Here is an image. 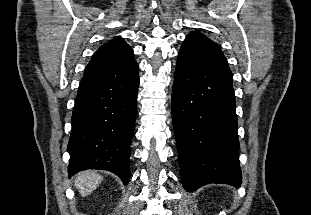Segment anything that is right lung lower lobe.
<instances>
[{
    "mask_svg": "<svg viewBox=\"0 0 311 215\" xmlns=\"http://www.w3.org/2000/svg\"><path fill=\"white\" fill-rule=\"evenodd\" d=\"M138 63L122 66L88 64L72 113L67 151L69 176L101 169L130 178V144L136 118Z\"/></svg>",
    "mask_w": 311,
    "mask_h": 215,
    "instance_id": "1",
    "label": "right lung lower lobe"
}]
</instances>
